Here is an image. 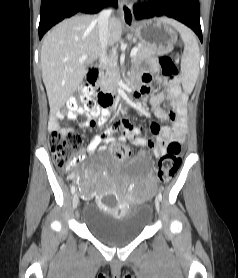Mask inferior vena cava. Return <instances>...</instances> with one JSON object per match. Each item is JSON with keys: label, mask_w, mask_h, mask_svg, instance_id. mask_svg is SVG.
Masks as SVG:
<instances>
[{"label": "inferior vena cava", "mask_w": 238, "mask_h": 278, "mask_svg": "<svg viewBox=\"0 0 238 278\" xmlns=\"http://www.w3.org/2000/svg\"><path fill=\"white\" fill-rule=\"evenodd\" d=\"M112 9L103 10L97 17L98 34L101 44L100 62H106V48L108 45V26Z\"/></svg>", "instance_id": "inferior-vena-cava-1"}]
</instances>
